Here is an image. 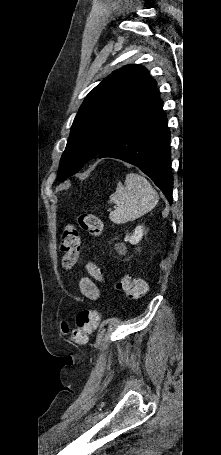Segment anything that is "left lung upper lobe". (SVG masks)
I'll use <instances>...</instances> for the list:
<instances>
[{"label":"left lung upper lobe","instance_id":"1","mask_svg":"<svg viewBox=\"0 0 221 455\" xmlns=\"http://www.w3.org/2000/svg\"><path fill=\"white\" fill-rule=\"evenodd\" d=\"M156 85L141 65L124 66L100 82L87 95L74 119L58 180L78 172L125 127L157 105L160 98Z\"/></svg>","mask_w":221,"mask_h":455}]
</instances>
